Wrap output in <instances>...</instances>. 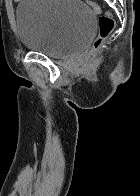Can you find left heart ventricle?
<instances>
[{
    "instance_id": "left-heart-ventricle-1",
    "label": "left heart ventricle",
    "mask_w": 140,
    "mask_h": 196,
    "mask_svg": "<svg viewBox=\"0 0 140 196\" xmlns=\"http://www.w3.org/2000/svg\"><path fill=\"white\" fill-rule=\"evenodd\" d=\"M44 192H54V191H44Z\"/></svg>"
}]
</instances>
